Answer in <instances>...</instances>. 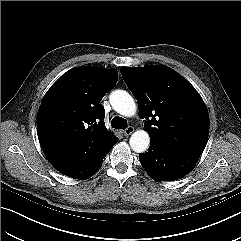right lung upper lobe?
<instances>
[{
	"mask_svg": "<svg viewBox=\"0 0 241 241\" xmlns=\"http://www.w3.org/2000/svg\"><path fill=\"white\" fill-rule=\"evenodd\" d=\"M117 79L115 69L81 66L63 74L43 97L37 114L38 138L58 171L87 163L117 142L105 127L100 104Z\"/></svg>",
	"mask_w": 241,
	"mask_h": 241,
	"instance_id": "obj_1",
	"label": "right lung upper lobe"
}]
</instances>
